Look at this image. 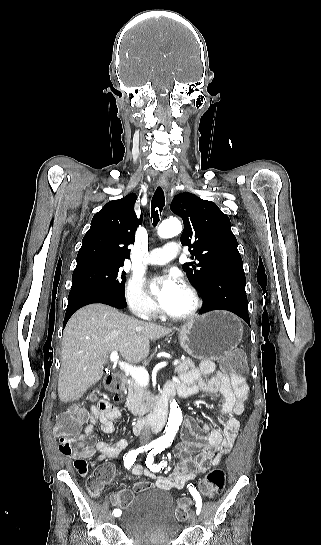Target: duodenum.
Returning <instances> with one entry per match:
<instances>
[{
    "mask_svg": "<svg viewBox=\"0 0 321 545\" xmlns=\"http://www.w3.org/2000/svg\"><path fill=\"white\" fill-rule=\"evenodd\" d=\"M124 384V378L119 374H110L105 381L106 388L115 395V399L118 398L119 393L123 390ZM177 390L180 395L184 396L176 384L171 383L166 386V388L157 396L153 412L135 420L133 424V433L135 435H141L147 431H159L164 427L169 401Z\"/></svg>",
    "mask_w": 321,
    "mask_h": 545,
    "instance_id": "1",
    "label": "duodenum"
}]
</instances>
